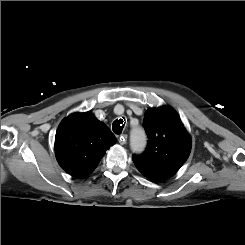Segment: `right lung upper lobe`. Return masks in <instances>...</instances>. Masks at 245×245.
I'll use <instances>...</instances> for the list:
<instances>
[{"label": "right lung upper lobe", "instance_id": "right-lung-upper-lobe-1", "mask_svg": "<svg viewBox=\"0 0 245 245\" xmlns=\"http://www.w3.org/2000/svg\"><path fill=\"white\" fill-rule=\"evenodd\" d=\"M116 143L110 129L91 112L74 113L59 125L55 154L68 174L82 178L97 167L106 150Z\"/></svg>", "mask_w": 245, "mask_h": 245}]
</instances>
